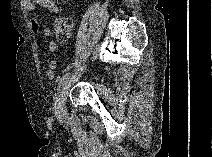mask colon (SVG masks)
<instances>
[{"label": "colon", "instance_id": "5ec220e1", "mask_svg": "<svg viewBox=\"0 0 212 157\" xmlns=\"http://www.w3.org/2000/svg\"><path fill=\"white\" fill-rule=\"evenodd\" d=\"M72 30L73 23L68 16L59 17L54 21L53 31L58 41H67L72 35Z\"/></svg>", "mask_w": 212, "mask_h": 157}]
</instances>
